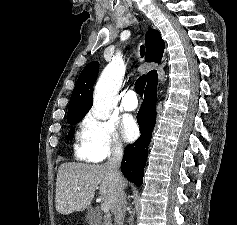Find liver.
I'll return each mask as SVG.
<instances>
[{
  "label": "liver",
  "mask_w": 237,
  "mask_h": 225,
  "mask_svg": "<svg viewBox=\"0 0 237 225\" xmlns=\"http://www.w3.org/2000/svg\"><path fill=\"white\" fill-rule=\"evenodd\" d=\"M126 185L124 180V187ZM96 189H99L103 201L113 212L117 188L106 164H61L56 180V210L63 215L84 211L91 204Z\"/></svg>",
  "instance_id": "liver-1"
}]
</instances>
